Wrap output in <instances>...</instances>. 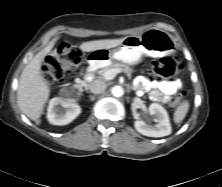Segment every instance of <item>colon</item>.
<instances>
[{
  "label": "colon",
  "mask_w": 222,
  "mask_h": 187,
  "mask_svg": "<svg viewBox=\"0 0 222 187\" xmlns=\"http://www.w3.org/2000/svg\"><path fill=\"white\" fill-rule=\"evenodd\" d=\"M83 62L82 52L68 44L59 45L45 59L43 65V76L49 83L62 80L67 73L76 71ZM179 71V65L173 60L164 57L155 60L149 71L153 77H173ZM185 98V92H178L171 100L172 106H178Z\"/></svg>",
  "instance_id": "5ec220e1"
}]
</instances>
